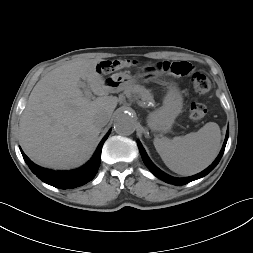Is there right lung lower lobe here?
I'll return each mask as SVG.
<instances>
[{
	"label": "right lung lower lobe",
	"instance_id": "obj_1",
	"mask_svg": "<svg viewBox=\"0 0 253 253\" xmlns=\"http://www.w3.org/2000/svg\"><path fill=\"white\" fill-rule=\"evenodd\" d=\"M111 130L100 142L91 160L79 169L72 171H53L34 164L21 150L23 158L31 171L43 182L61 189L75 188L91 181L100 166L101 150Z\"/></svg>",
	"mask_w": 253,
	"mask_h": 253
}]
</instances>
